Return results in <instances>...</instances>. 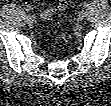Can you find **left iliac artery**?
<instances>
[{"instance_id": "44dca946", "label": "left iliac artery", "mask_w": 111, "mask_h": 106, "mask_svg": "<svg viewBox=\"0 0 111 106\" xmlns=\"http://www.w3.org/2000/svg\"><path fill=\"white\" fill-rule=\"evenodd\" d=\"M87 6H88V4H87V3H84V4H83V7H87Z\"/></svg>"}]
</instances>
